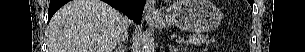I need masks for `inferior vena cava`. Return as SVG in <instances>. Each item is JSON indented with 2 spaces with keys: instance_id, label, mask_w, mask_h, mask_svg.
Wrapping results in <instances>:
<instances>
[{
  "instance_id": "602c4592",
  "label": "inferior vena cava",
  "mask_w": 305,
  "mask_h": 52,
  "mask_svg": "<svg viewBox=\"0 0 305 52\" xmlns=\"http://www.w3.org/2000/svg\"><path fill=\"white\" fill-rule=\"evenodd\" d=\"M127 37H128V32L126 31L121 40L124 41Z\"/></svg>"
}]
</instances>
